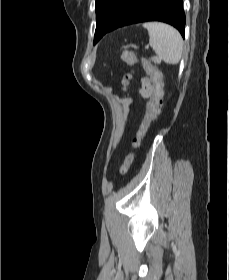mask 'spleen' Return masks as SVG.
<instances>
[{
  "mask_svg": "<svg viewBox=\"0 0 229 280\" xmlns=\"http://www.w3.org/2000/svg\"><path fill=\"white\" fill-rule=\"evenodd\" d=\"M143 26L148 30L149 44L158 57L167 64L178 63L183 52L180 33L172 26L160 22H148Z\"/></svg>",
  "mask_w": 229,
  "mask_h": 280,
  "instance_id": "1",
  "label": "spleen"
}]
</instances>
